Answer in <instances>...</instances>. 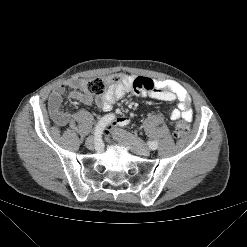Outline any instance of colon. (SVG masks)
I'll use <instances>...</instances> for the list:
<instances>
[{
	"mask_svg": "<svg viewBox=\"0 0 247 247\" xmlns=\"http://www.w3.org/2000/svg\"><path fill=\"white\" fill-rule=\"evenodd\" d=\"M125 78L126 77L123 74H115L110 78H103V77L93 78L91 80L84 81L83 87L89 94L100 96L104 94V92L106 91L109 82L122 83L124 82ZM135 85L140 86L141 83L137 81L135 82ZM72 96L77 98L78 91H74L72 93ZM188 134H189V127L186 124V122L184 120L177 121L174 127V136L176 138H185L187 137Z\"/></svg>",
	"mask_w": 247,
	"mask_h": 247,
	"instance_id": "obj_1",
	"label": "colon"
}]
</instances>
